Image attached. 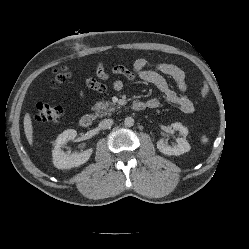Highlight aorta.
I'll list each match as a JSON object with an SVG mask.
<instances>
[{"label": "aorta", "instance_id": "obj_1", "mask_svg": "<svg viewBox=\"0 0 249 249\" xmlns=\"http://www.w3.org/2000/svg\"><path fill=\"white\" fill-rule=\"evenodd\" d=\"M124 125L127 127H131L134 125V119L132 117H127L124 120Z\"/></svg>", "mask_w": 249, "mask_h": 249}]
</instances>
